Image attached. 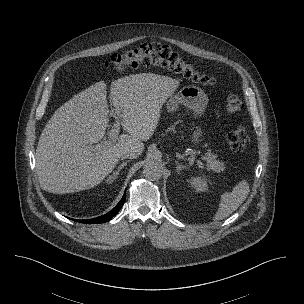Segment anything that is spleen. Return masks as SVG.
<instances>
[{
    "instance_id": "obj_1",
    "label": "spleen",
    "mask_w": 304,
    "mask_h": 304,
    "mask_svg": "<svg viewBox=\"0 0 304 304\" xmlns=\"http://www.w3.org/2000/svg\"><path fill=\"white\" fill-rule=\"evenodd\" d=\"M249 191V184L246 181H241L233 188L232 192L223 193L214 220H222L232 214L245 201Z\"/></svg>"
}]
</instances>
